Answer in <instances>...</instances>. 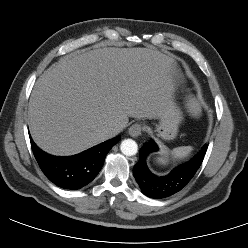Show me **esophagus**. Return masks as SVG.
Segmentation results:
<instances>
[{
    "mask_svg": "<svg viewBox=\"0 0 248 248\" xmlns=\"http://www.w3.org/2000/svg\"><path fill=\"white\" fill-rule=\"evenodd\" d=\"M128 133H129V135L132 136V137H138V136H140L141 133H142V125L139 124V123L133 124V125L129 128Z\"/></svg>",
    "mask_w": 248,
    "mask_h": 248,
    "instance_id": "obj_1",
    "label": "esophagus"
}]
</instances>
